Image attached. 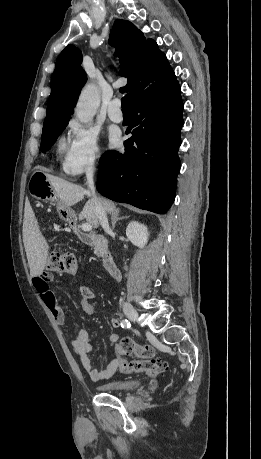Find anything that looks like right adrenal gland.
I'll list each match as a JSON object with an SVG mask.
<instances>
[{"mask_svg":"<svg viewBox=\"0 0 261 459\" xmlns=\"http://www.w3.org/2000/svg\"><path fill=\"white\" fill-rule=\"evenodd\" d=\"M128 218H129V216L119 217V213H112L111 214L112 229L113 230L115 229V225L119 220L128 219Z\"/></svg>","mask_w":261,"mask_h":459,"instance_id":"1","label":"right adrenal gland"}]
</instances>
